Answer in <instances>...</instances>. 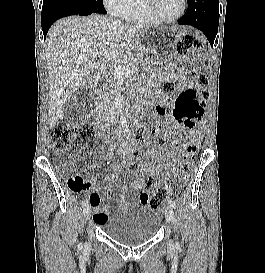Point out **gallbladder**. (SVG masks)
<instances>
[{
    "instance_id": "gallbladder-1",
    "label": "gallbladder",
    "mask_w": 265,
    "mask_h": 273,
    "mask_svg": "<svg viewBox=\"0 0 265 273\" xmlns=\"http://www.w3.org/2000/svg\"><path fill=\"white\" fill-rule=\"evenodd\" d=\"M91 96L89 88H80L67 104L63 118L68 122H75L84 117L89 109Z\"/></svg>"
}]
</instances>
